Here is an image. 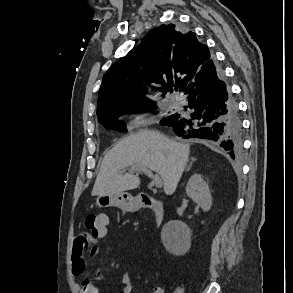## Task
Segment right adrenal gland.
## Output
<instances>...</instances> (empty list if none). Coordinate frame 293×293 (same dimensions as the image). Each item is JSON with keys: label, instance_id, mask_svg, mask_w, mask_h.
<instances>
[{"label": "right adrenal gland", "instance_id": "2a0ac1e0", "mask_svg": "<svg viewBox=\"0 0 293 293\" xmlns=\"http://www.w3.org/2000/svg\"><path fill=\"white\" fill-rule=\"evenodd\" d=\"M194 161H195V158H192L191 162L189 163L188 167L186 168V172H188L190 170Z\"/></svg>", "mask_w": 293, "mask_h": 293}]
</instances>
